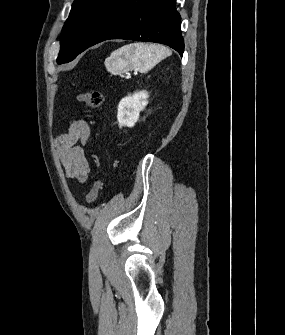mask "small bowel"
Segmentation results:
<instances>
[{
	"label": "small bowel",
	"instance_id": "1",
	"mask_svg": "<svg viewBox=\"0 0 285 335\" xmlns=\"http://www.w3.org/2000/svg\"><path fill=\"white\" fill-rule=\"evenodd\" d=\"M90 132L88 123L78 120L72 122L68 131L57 139L56 148L65 175L69 179H76L79 182L87 180L90 168L84 146L89 140Z\"/></svg>",
	"mask_w": 285,
	"mask_h": 335
}]
</instances>
